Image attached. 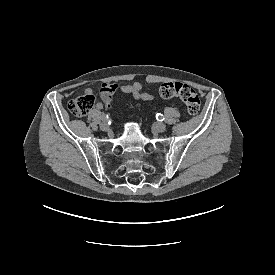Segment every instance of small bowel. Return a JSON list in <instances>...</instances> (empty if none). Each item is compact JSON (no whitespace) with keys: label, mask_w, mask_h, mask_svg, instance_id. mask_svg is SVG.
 <instances>
[{"label":"small bowel","mask_w":275,"mask_h":275,"mask_svg":"<svg viewBox=\"0 0 275 275\" xmlns=\"http://www.w3.org/2000/svg\"><path fill=\"white\" fill-rule=\"evenodd\" d=\"M117 89H120L126 94H131L135 100L150 101L153 99V95L144 91L143 86L140 82L131 81L122 84H118L116 82H106L103 83L99 89V95L102 99V102H98L96 104V108L98 110H101L104 104H106L107 102H111L110 99ZM85 93L87 95H90L93 93V90L91 88H87L85 90Z\"/></svg>","instance_id":"obj_1"}]
</instances>
